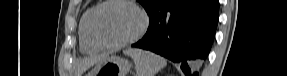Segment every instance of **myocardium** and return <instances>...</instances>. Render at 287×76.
Segmentation results:
<instances>
[{"label":"myocardium","mask_w":287,"mask_h":76,"mask_svg":"<svg viewBox=\"0 0 287 76\" xmlns=\"http://www.w3.org/2000/svg\"><path fill=\"white\" fill-rule=\"evenodd\" d=\"M114 3H124V4H127L131 7H133L141 16V26H140L139 30L133 36H131L127 39L117 41V42H107V41L102 40L98 36V34L96 33L95 22H96V18L98 16V14L100 13V11L103 8H105L106 6L114 4ZM148 26H149L148 14L140 5H138L136 2H134L132 0H106V1L100 2L93 9V11L90 14L89 20H88L89 35H90L92 41L102 49H117V48H121V47L130 45L132 43H135L136 41H138L139 39H141L143 37V35L146 33V31L148 29Z\"/></svg>","instance_id":"myocardium-1"}]
</instances>
